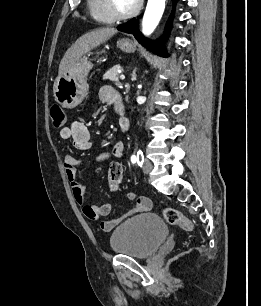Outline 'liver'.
<instances>
[{"label":"liver","instance_id":"liver-1","mask_svg":"<svg viewBox=\"0 0 261 306\" xmlns=\"http://www.w3.org/2000/svg\"><path fill=\"white\" fill-rule=\"evenodd\" d=\"M116 33L115 28L106 27L82 35L64 54L59 65L58 76L65 74L84 54L104 43Z\"/></svg>","mask_w":261,"mask_h":306}]
</instances>
